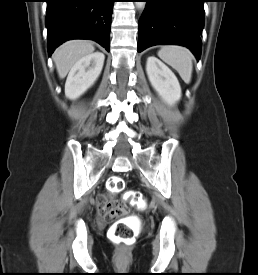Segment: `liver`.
I'll return each instance as SVG.
<instances>
[{"instance_id":"liver-1","label":"liver","mask_w":258,"mask_h":275,"mask_svg":"<svg viewBox=\"0 0 258 275\" xmlns=\"http://www.w3.org/2000/svg\"><path fill=\"white\" fill-rule=\"evenodd\" d=\"M94 50L93 44L85 40L68 41L58 47L53 54V60L59 77L64 78L77 61Z\"/></svg>"}]
</instances>
